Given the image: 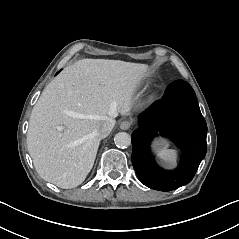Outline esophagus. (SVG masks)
<instances>
[{
	"instance_id": "obj_1",
	"label": "esophagus",
	"mask_w": 239,
	"mask_h": 239,
	"mask_svg": "<svg viewBox=\"0 0 239 239\" xmlns=\"http://www.w3.org/2000/svg\"><path fill=\"white\" fill-rule=\"evenodd\" d=\"M131 126V122L129 121H123L121 124H120V129L122 130H128Z\"/></svg>"
}]
</instances>
